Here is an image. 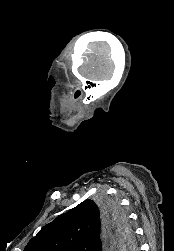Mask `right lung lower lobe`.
<instances>
[{
  "mask_svg": "<svg viewBox=\"0 0 174 251\" xmlns=\"http://www.w3.org/2000/svg\"><path fill=\"white\" fill-rule=\"evenodd\" d=\"M114 233V227L106 220H103V235L101 238V245L103 248L109 247L112 243V235ZM105 251V250H102Z\"/></svg>",
  "mask_w": 174,
  "mask_h": 251,
  "instance_id": "1",
  "label": "right lung lower lobe"
}]
</instances>
